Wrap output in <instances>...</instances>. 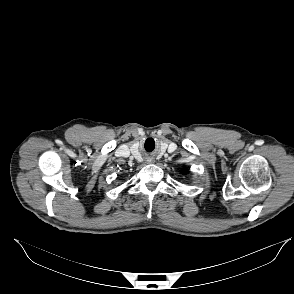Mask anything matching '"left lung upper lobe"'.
Segmentation results:
<instances>
[{"instance_id":"obj_1","label":"left lung upper lobe","mask_w":294,"mask_h":294,"mask_svg":"<svg viewBox=\"0 0 294 294\" xmlns=\"http://www.w3.org/2000/svg\"><path fill=\"white\" fill-rule=\"evenodd\" d=\"M188 172L186 171V170H184V172H183V174L185 175V174H187Z\"/></svg>"}]
</instances>
